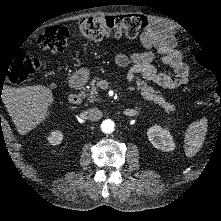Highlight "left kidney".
<instances>
[{
  "label": "left kidney",
  "mask_w": 221,
  "mask_h": 221,
  "mask_svg": "<svg viewBox=\"0 0 221 221\" xmlns=\"http://www.w3.org/2000/svg\"><path fill=\"white\" fill-rule=\"evenodd\" d=\"M147 136L151 144L159 150L170 152L176 148L173 136L170 134L168 127L162 128L155 124L148 128Z\"/></svg>",
  "instance_id": "5707ae66"
}]
</instances>
